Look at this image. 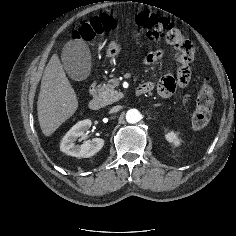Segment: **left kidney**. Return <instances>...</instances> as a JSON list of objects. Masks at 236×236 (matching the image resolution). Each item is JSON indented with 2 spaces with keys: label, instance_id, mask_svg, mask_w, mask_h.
<instances>
[{
  "label": "left kidney",
  "instance_id": "left-kidney-1",
  "mask_svg": "<svg viewBox=\"0 0 236 236\" xmlns=\"http://www.w3.org/2000/svg\"><path fill=\"white\" fill-rule=\"evenodd\" d=\"M166 140L170 143L175 144L176 146H178L180 144V140H179L177 134L174 132H169L168 134H166Z\"/></svg>",
  "mask_w": 236,
  "mask_h": 236
}]
</instances>
